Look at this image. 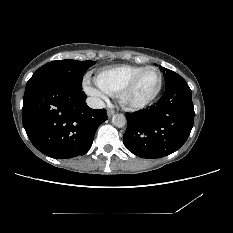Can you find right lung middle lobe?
Instances as JSON below:
<instances>
[{"instance_id":"right-lung-middle-lobe-1","label":"right lung middle lobe","mask_w":233,"mask_h":233,"mask_svg":"<svg viewBox=\"0 0 233 233\" xmlns=\"http://www.w3.org/2000/svg\"><path fill=\"white\" fill-rule=\"evenodd\" d=\"M95 61H76L71 59L46 63L37 69L27 82L26 89L45 83H60L76 89H82V79Z\"/></svg>"}]
</instances>
